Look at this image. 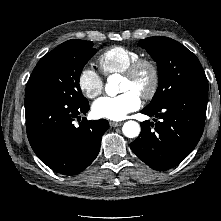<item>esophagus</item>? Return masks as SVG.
I'll use <instances>...</instances> for the list:
<instances>
[{"label":"esophagus","instance_id":"1","mask_svg":"<svg viewBox=\"0 0 221 221\" xmlns=\"http://www.w3.org/2000/svg\"><path fill=\"white\" fill-rule=\"evenodd\" d=\"M109 124H110L111 127H118V126L122 125V122L111 121Z\"/></svg>","mask_w":221,"mask_h":221}]
</instances>
